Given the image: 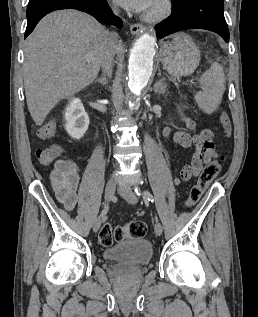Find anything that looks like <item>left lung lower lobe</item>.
<instances>
[{
  "label": "left lung lower lobe",
  "mask_w": 258,
  "mask_h": 317,
  "mask_svg": "<svg viewBox=\"0 0 258 317\" xmlns=\"http://www.w3.org/2000/svg\"><path fill=\"white\" fill-rule=\"evenodd\" d=\"M172 10V16L156 26L157 38L185 29H205L229 41L223 0H184L173 4Z\"/></svg>",
  "instance_id": "obj_1"
}]
</instances>
